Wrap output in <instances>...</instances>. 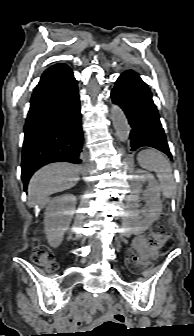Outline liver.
Wrapping results in <instances>:
<instances>
[{"label":"liver","mask_w":194,"mask_h":336,"mask_svg":"<svg viewBox=\"0 0 194 336\" xmlns=\"http://www.w3.org/2000/svg\"><path fill=\"white\" fill-rule=\"evenodd\" d=\"M79 172L78 166L65 162L38 170L28 185V206L46 204L50 195L72 188L79 181Z\"/></svg>","instance_id":"liver-1"}]
</instances>
